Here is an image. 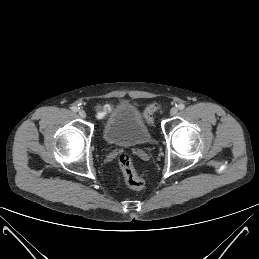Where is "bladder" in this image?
Wrapping results in <instances>:
<instances>
[{"instance_id": "obj_1", "label": "bladder", "mask_w": 259, "mask_h": 259, "mask_svg": "<svg viewBox=\"0 0 259 259\" xmlns=\"http://www.w3.org/2000/svg\"><path fill=\"white\" fill-rule=\"evenodd\" d=\"M103 138L108 144L119 147L144 146L152 141L139 109L128 101L119 102L108 113Z\"/></svg>"}]
</instances>
